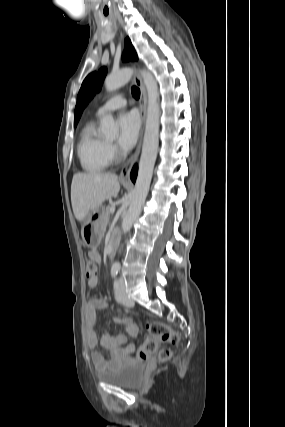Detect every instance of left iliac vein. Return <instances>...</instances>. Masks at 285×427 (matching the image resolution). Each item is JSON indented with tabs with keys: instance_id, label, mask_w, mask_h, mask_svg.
<instances>
[{
	"instance_id": "1",
	"label": "left iliac vein",
	"mask_w": 285,
	"mask_h": 427,
	"mask_svg": "<svg viewBox=\"0 0 285 427\" xmlns=\"http://www.w3.org/2000/svg\"><path fill=\"white\" fill-rule=\"evenodd\" d=\"M115 295L118 302H120L124 306L132 307L134 305L133 300L130 299L126 293L125 283L122 279H120L118 282Z\"/></svg>"
}]
</instances>
